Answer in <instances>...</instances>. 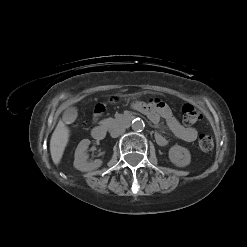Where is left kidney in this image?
Here are the masks:
<instances>
[{"label": "left kidney", "instance_id": "5707ae66", "mask_svg": "<svg viewBox=\"0 0 247 247\" xmlns=\"http://www.w3.org/2000/svg\"><path fill=\"white\" fill-rule=\"evenodd\" d=\"M169 159L177 167H186L191 162L190 151L185 147L174 145L169 149Z\"/></svg>", "mask_w": 247, "mask_h": 247}]
</instances>
